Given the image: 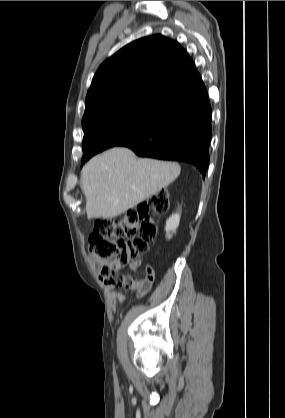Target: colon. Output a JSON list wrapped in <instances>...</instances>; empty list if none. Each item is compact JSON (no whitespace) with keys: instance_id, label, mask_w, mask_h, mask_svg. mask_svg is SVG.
<instances>
[{"instance_id":"5ec220e1","label":"colon","mask_w":285,"mask_h":418,"mask_svg":"<svg viewBox=\"0 0 285 418\" xmlns=\"http://www.w3.org/2000/svg\"><path fill=\"white\" fill-rule=\"evenodd\" d=\"M168 209L169 192L160 190L118 219L95 222L88 238V250L100 262L102 282L109 286L124 285L120 278L123 269L145 254L157 237L158 229L152 217L161 216ZM138 281L135 286L138 293H146Z\"/></svg>"}]
</instances>
